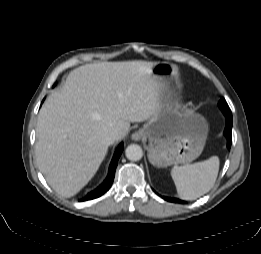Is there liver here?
Here are the masks:
<instances>
[{"mask_svg":"<svg viewBox=\"0 0 261 254\" xmlns=\"http://www.w3.org/2000/svg\"><path fill=\"white\" fill-rule=\"evenodd\" d=\"M155 64H86L47 97L38 115L35 155L56 193L72 197L91 180L107 154L109 133L118 131L121 140L130 123L153 117L160 88Z\"/></svg>","mask_w":261,"mask_h":254,"instance_id":"obj_1","label":"liver"}]
</instances>
